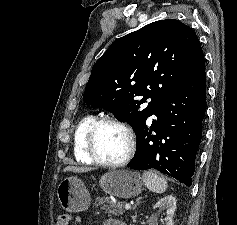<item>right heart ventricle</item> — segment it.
<instances>
[{
  "label": "right heart ventricle",
  "mask_w": 237,
  "mask_h": 225,
  "mask_svg": "<svg viewBox=\"0 0 237 225\" xmlns=\"http://www.w3.org/2000/svg\"><path fill=\"white\" fill-rule=\"evenodd\" d=\"M96 120L93 115H86L79 120L73 136V154L77 161L91 164L93 160L88 156L85 148L86 134L91 124Z\"/></svg>",
  "instance_id": "right-heart-ventricle-1"
}]
</instances>
